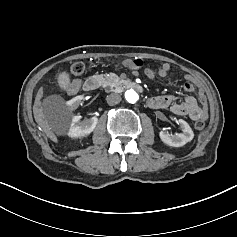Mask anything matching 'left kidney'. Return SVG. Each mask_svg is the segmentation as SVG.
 <instances>
[{"label":"left kidney","mask_w":237,"mask_h":237,"mask_svg":"<svg viewBox=\"0 0 237 237\" xmlns=\"http://www.w3.org/2000/svg\"><path fill=\"white\" fill-rule=\"evenodd\" d=\"M181 133L170 135L164 131L159 133L161 141L170 147H182L194 138V132L190 125L183 119L179 120Z\"/></svg>","instance_id":"1"}]
</instances>
